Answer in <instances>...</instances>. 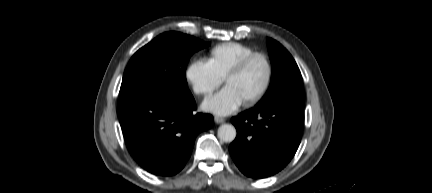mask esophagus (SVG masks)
<instances>
[{
	"instance_id": "1",
	"label": "esophagus",
	"mask_w": 432,
	"mask_h": 193,
	"mask_svg": "<svg viewBox=\"0 0 432 193\" xmlns=\"http://www.w3.org/2000/svg\"><path fill=\"white\" fill-rule=\"evenodd\" d=\"M215 122H216V123H222V122H224V118H221V117L216 116V117H215Z\"/></svg>"
}]
</instances>
